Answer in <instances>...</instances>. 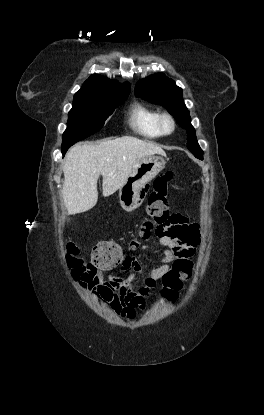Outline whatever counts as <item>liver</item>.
<instances>
[{"mask_svg":"<svg viewBox=\"0 0 264 415\" xmlns=\"http://www.w3.org/2000/svg\"><path fill=\"white\" fill-rule=\"evenodd\" d=\"M155 154L165 155V152L154 143L131 136L70 148L63 165L62 187L68 214L83 213L96 205L100 175L103 196L108 197L126 182L140 159Z\"/></svg>","mask_w":264,"mask_h":415,"instance_id":"obj_1","label":"liver"}]
</instances>
